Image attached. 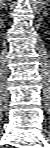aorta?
Segmentation results:
<instances>
[{"instance_id":"aorta-1","label":"aorta","mask_w":50,"mask_h":148,"mask_svg":"<svg viewBox=\"0 0 50 148\" xmlns=\"http://www.w3.org/2000/svg\"><path fill=\"white\" fill-rule=\"evenodd\" d=\"M35 9L41 10L44 7L45 1L44 0H32Z\"/></svg>"}]
</instances>
